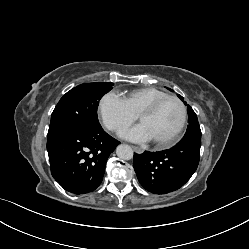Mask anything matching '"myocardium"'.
<instances>
[{"mask_svg":"<svg viewBox=\"0 0 249 249\" xmlns=\"http://www.w3.org/2000/svg\"><path fill=\"white\" fill-rule=\"evenodd\" d=\"M167 100H175L176 102L179 103L181 110H182V118H181V122L178 128L174 131L172 135H170L168 138L164 140L154 141L155 146L159 149L169 148L170 146L175 144L176 141L180 138L186 126L187 118H188V112H187V107L185 103L177 96L167 95V96L158 98L155 101L149 103L144 108H142L137 115V118L140 120L142 116L153 113L163 102Z\"/></svg>","mask_w":249,"mask_h":249,"instance_id":"1","label":"myocardium"}]
</instances>
